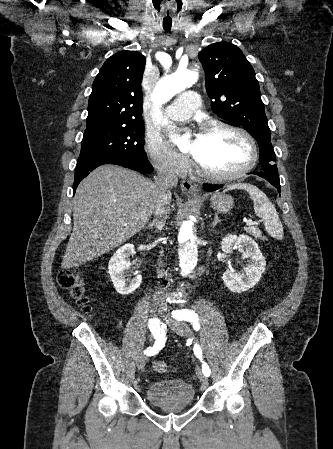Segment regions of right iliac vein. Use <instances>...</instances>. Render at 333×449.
<instances>
[{"label": "right iliac vein", "mask_w": 333, "mask_h": 449, "mask_svg": "<svg viewBox=\"0 0 333 449\" xmlns=\"http://www.w3.org/2000/svg\"><path fill=\"white\" fill-rule=\"evenodd\" d=\"M163 311V306L159 302H153L151 305V313L156 318ZM147 362V356L145 354H141L137 359V367L141 370Z\"/></svg>", "instance_id": "1"}]
</instances>
